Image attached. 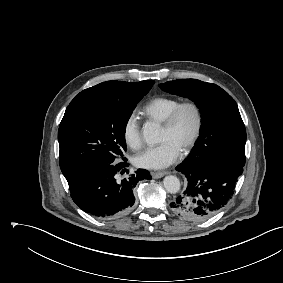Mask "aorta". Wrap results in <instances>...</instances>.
Returning a JSON list of instances; mask_svg holds the SVG:
<instances>
[{"label":"aorta","instance_id":"obj_1","mask_svg":"<svg viewBox=\"0 0 283 283\" xmlns=\"http://www.w3.org/2000/svg\"><path fill=\"white\" fill-rule=\"evenodd\" d=\"M142 136L147 144L154 145L160 141V127L158 124L149 122L143 126ZM165 189L175 194L180 190V180L173 175L166 176L163 179Z\"/></svg>","mask_w":283,"mask_h":283}]
</instances>
